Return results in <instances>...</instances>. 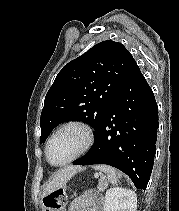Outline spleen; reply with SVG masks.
I'll return each instance as SVG.
<instances>
[{
	"label": "spleen",
	"mask_w": 179,
	"mask_h": 211,
	"mask_svg": "<svg viewBox=\"0 0 179 211\" xmlns=\"http://www.w3.org/2000/svg\"><path fill=\"white\" fill-rule=\"evenodd\" d=\"M94 169L104 172L107 175L108 181L112 185H117L118 175H117V171L114 168H112L110 166H106V165H100V166H95Z\"/></svg>",
	"instance_id": "3e777b00"
}]
</instances>
